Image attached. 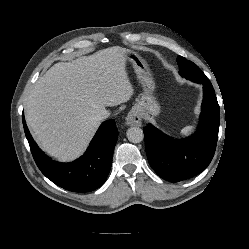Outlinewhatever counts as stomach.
<instances>
[{"label": "stomach", "instance_id": "obj_1", "mask_svg": "<svg viewBox=\"0 0 249 249\" xmlns=\"http://www.w3.org/2000/svg\"><path fill=\"white\" fill-rule=\"evenodd\" d=\"M126 60L132 63L137 78L143 87V93L140 95L131 111L142 118L152 120L160 113V106L153 95L155 83L148 64L140 55L132 51H129L126 54Z\"/></svg>", "mask_w": 249, "mask_h": 249}]
</instances>
